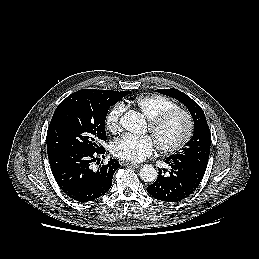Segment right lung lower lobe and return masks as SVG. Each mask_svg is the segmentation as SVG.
<instances>
[{
	"mask_svg": "<svg viewBox=\"0 0 259 259\" xmlns=\"http://www.w3.org/2000/svg\"><path fill=\"white\" fill-rule=\"evenodd\" d=\"M101 153H105L104 148L97 151L68 150L48 157L57 184L70 198L79 202L93 201L111 188L113 174L120 164L110 159L93 171L90 164Z\"/></svg>",
	"mask_w": 259,
	"mask_h": 259,
	"instance_id": "right-lung-lower-lobe-1",
	"label": "right lung lower lobe"
}]
</instances>
